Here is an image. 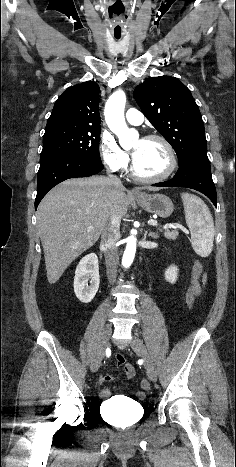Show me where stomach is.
Here are the masks:
<instances>
[{"label":"stomach","mask_w":236,"mask_h":467,"mask_svg":"<svg viewBox=\"0 0 236 467\" xmlns=\"http://www.w3.org/2000/svg\"><path fill=\"white\" fill-rule=\"evenodd\" d=\"M132 199L145 211L156 214L162 218L169 217L174 210L171 199L163 194L143 193L138 197H132Z\"/></svg>","instance_id":"stomach-1"}]
</instances>
